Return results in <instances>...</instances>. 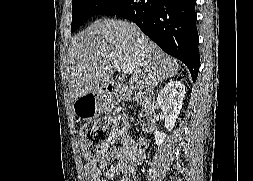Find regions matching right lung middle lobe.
Returning <instances> with one entry per match:
<instances>
[{"instance_id": "dd1d6c3e", "label": "right lung middle lobe", "mask_w": 253, "mask_h": 181, "mask_svg": "<svg viewBox=\"0 0 253 181\" xmlns=\"http://www.w3.org/2000/svg\"><path fill=\"white\" fill-rule=\"evenodd\" d=\"M130 0H72L71 31L77 30L94 14L113 16L124 9Z\"/></svg>"}]
</instances>
